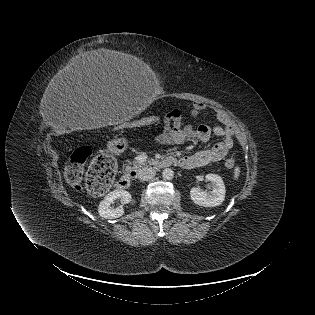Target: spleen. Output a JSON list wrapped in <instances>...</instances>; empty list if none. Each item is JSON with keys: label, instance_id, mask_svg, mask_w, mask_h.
<instances>
[{"label": "spleen", "instance_id": "3e777b00", "mask_svg": "<svg viewBox=\"0 0 315 315\" xmlns=\"http://www.w3.org/2000/svg\"><path fill=\"white\" fill-rule=\"evenodd\" d=\"M239 175H240V167L236 166L234 169V179L238 180Z\"/></svg>", "mask_w": 315, "mask_h": 315}]
</instances>
